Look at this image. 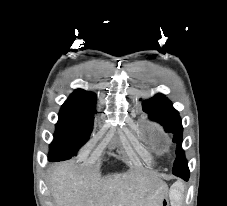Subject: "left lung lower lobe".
<instances>
[{"instance_id":"left-lung-lower-lobe-1","label":"left lung lower lobe","mask_w":227,"mask_h":206,"mask_svg":"<svg viewBox=\"0 0 227 206\" xmlns=\"http://www.w3.org/2000/svg\"><path fill=\"white\" fill-rule=\"evenodd\" d=\"M173 174L176 175V176L181 177L182 179H184L186 181L189 179V170L178 171V172H175Z\"/></svg>"}]
</instances>
